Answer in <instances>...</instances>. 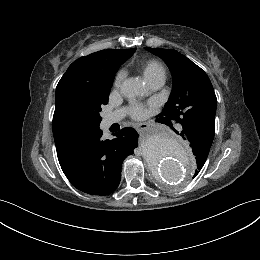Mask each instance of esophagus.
Wrapping results in <instances>:
<instances>
[{
  "instance_id": "34e87169",
  "label": "esophagus",
  "mask_w": 260,
  "mask_h": 260,
  "mask_svg": "<svg viewBox=\"0 0 260 260\" xmlns=\"http://www.w3.org/2000/svg\"><path fill=\"white\" fill-rule=\"evenodd\" d=\"M149 126H150V125H149L148 123H137V124H136V127H137V129H138L139 131H144V130L148 129Z\"/></svg>"
}]
</instances>
